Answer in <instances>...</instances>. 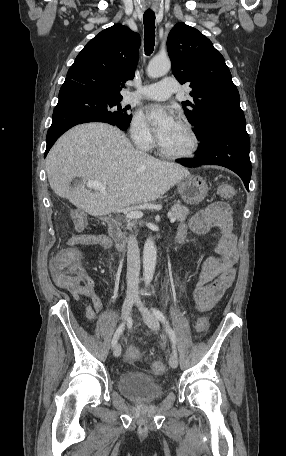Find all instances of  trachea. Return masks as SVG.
<instances>
[{
    "mask_svg": "<svg viewBox=\"0 0 286 456\" xmlns=\"http://www.w3.org/2000/svg\"><path fill=\"white\" fill-rule=\"evenodd\" d=\"M144 23V50L146 55H150L154 50L155 44V14L145 12L143 16Z\"/></svg>",
    "mask_w": 286,
    "mask_h": 456,
    "instance_id": "obj_1",
    "label": "trachea"
}]
</instances>
